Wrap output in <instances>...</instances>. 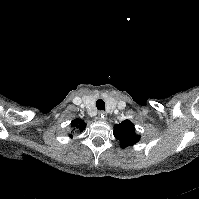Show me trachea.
Here are the masks:
<instances>
[{"label": "trachea", "instance_id": "1", "mask_svg": "<svg viewBox=\"0 0 199 199\" xmlns=\"http://www.w3.org/2000/svg\"><path fill=\"white\" fill-rule=\"evenodd\" d=\"M96 107L98 110H105V102L102 99L96 101Z\"/></svg>", "mask_w": 199, "mask_h": 199}]
</instances>
